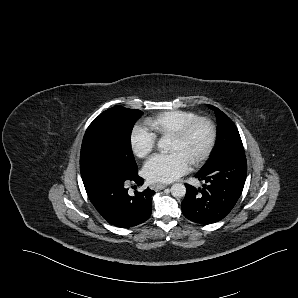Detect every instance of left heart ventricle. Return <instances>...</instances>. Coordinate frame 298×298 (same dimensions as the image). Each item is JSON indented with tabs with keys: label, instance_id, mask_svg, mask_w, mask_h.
<instances>
[{
	"label": "left heart ventricle",
	"instance_id": "left-heart-ventricle-1",
	"mask_svg": "<svg viewBox=\"0 0 298 298\" xmlns=\"http://www.w3.org/2000/svg\"><path fill=\"white\" fill-rule=\"evenodd\" d=\"M205 141V129L197 125L188 134L180 139L166 140L162 142V150L178 152L189 164L190 160L199 152Z\"/></svg>",
	"mask_w": 298,
	"mask_h": 298
}]
</instances>
